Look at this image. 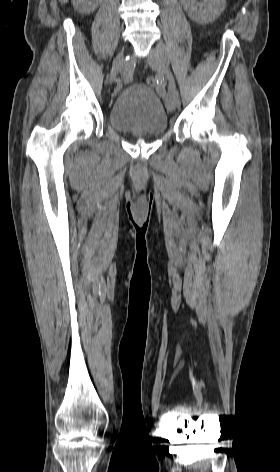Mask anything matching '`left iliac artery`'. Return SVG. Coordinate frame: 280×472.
Segmentation results:
<instances>
[{"label": "left iliac artery", "instance_id": "1", "mask_svg": "<svg viewBox=\"0 0 280 472\" xmlns=\"http://www.w3.org/2000/svg\"><path fill=\"white\" fill-rule=\"evenodd\" d=\"M160 52H161L162 56H165V48H160ZM176 96H178L177 93H176Z\"/></svg>", "mask_w": 280, "mask_h": 472}]
</instances>
